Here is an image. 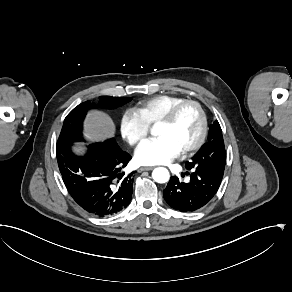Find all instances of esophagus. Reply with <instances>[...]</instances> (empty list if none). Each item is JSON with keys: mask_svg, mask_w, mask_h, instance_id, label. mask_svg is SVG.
Masks as SVG:
<instances>
[{"mask_svg": "<svg viewBox=\"0 0 292 292\" xmlns=\"http://www.w3.org/2000/svg\"><path fill=\"white\" fill-rule=\"evenodd\" d=\"M154 167H140L138 169V172H142V171H149V170H153Z\"/></svg>", "mask_w": 292, "mask_h": 292, "instance_id": "obj_1", "label": "esophagus"}]
</instances>
